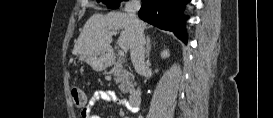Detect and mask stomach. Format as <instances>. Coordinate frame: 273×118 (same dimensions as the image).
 <instances>
[{
    "label": "stomach",
    "mask_w": 273,
    "mask_h": 118,
    "mask_svg": "<svg viewBox=\"0 0 273 118\" xmlns=\"http://www.w3.org/2000/svg\"><path fill=\"white\" fill-rule=\"evenodd\" d=\"M80 60L87 62L95 71H103L108 66V57L105 52L80 56Z\"/></svg>",
    "instance_id": "0dacf381"
}]
</instances>
